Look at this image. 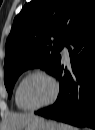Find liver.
<instances>
[{"instance_id":"6515ba94","label":"liver","mask_w":95,"mask_h":130,"mask_svg":"<svg viewBox=\"0 0 95 130\" xmlns=\"http://www.w3.org/2000/svg\"><path fill=\"white\" fill-rule=\"evenodd\" d=\"M38 117L34 114H12L7 118L8 130H22L29 122Z\"/></svg>"}]
</instances>
